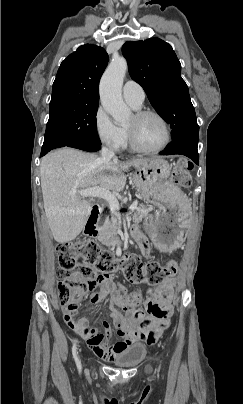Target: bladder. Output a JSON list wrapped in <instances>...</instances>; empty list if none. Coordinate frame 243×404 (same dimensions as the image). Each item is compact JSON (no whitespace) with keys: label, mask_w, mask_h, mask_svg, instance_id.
<instances>
[{"label":"bladder","mask_w":243,"mask_h":404,"mask_svg":"<svg viewBox=\"0 0 243 404\" xmlns=\"http://www.w3.org/2000/svg\"><path fill=\"white\" fill-rule=\"evenodd\" d=\"M147 354V348L142 343H133L122 349L113 359V363L121 368H131L138 365Z\"/></svg>","instance_id":"31cf9c89"}]
</instances>
